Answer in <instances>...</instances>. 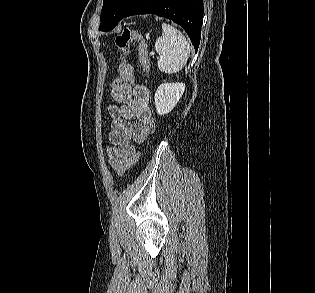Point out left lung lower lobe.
<instances>
[{
    "mask_svg": "<svg viewBox=\"0 0 315 293\" xmlns=\"http://www.w3.org/2000/svg\"><path fill=\"white\" fill-rule=\"evenodd\" d=\"M139 14H155L173 20L184 28L195 50H198L203 0H139L125 17Z\"/></svg>",
    "mask_w": 315,
    "mask_h": 293,
    "instance_id": "left-lung-lower-lobe-1",
    "label": "left lung lower lobe"
}]
</instances>
